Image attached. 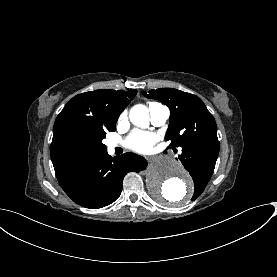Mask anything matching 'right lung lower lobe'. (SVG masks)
Here are the masks:
<instances>
[{
	"label": "right lung lower lobe",
	"instance_id": "98d812e1",
	"mask_svg": "<svg viewBox=\"0 0 277 277\" xmlns=\"http://www.w3.org/2000/svg\"><path fill=\"white\" fill-rule=\"evenodd\" d=\"M146 160L132 153L112 158L107 150L55 169L65 193L77 204L96 209L113 203L121 194L124 176L140 172Z\"/></svg>",
	"mask_w": 277,
	"mask_h": 277
}]
</instances>
